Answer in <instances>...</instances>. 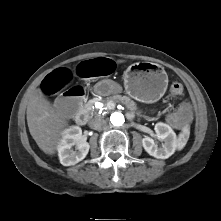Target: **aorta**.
Listing matches in <instances>:
<instances>
[{
	"label": "aorta",
	"mask_w": 221,
	"mask_h": 221,
	"mask_svg": "<svg viewBox=\"0 0 221 221\" xmlns=\"http://www.w3.org/2000/svg\"><path fill=\"white\" fill-rule=\"evenodd\" d=\"M110 121L114 126H121L124 122V115L120 112H114L110 116Z\"/></svg>",
	"instance_id": "obj_1"
}]
</instances>
